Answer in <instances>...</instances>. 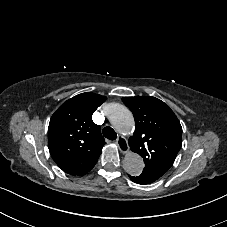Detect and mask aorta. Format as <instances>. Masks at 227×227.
I'll list each match as a JSON object with an SVG mask.
<instances>
[{
	"mask_svg": "<svg viewBox=\"0 0 227 227\" xmlns=\"http://www.w3.org/2000/svg\"><path fill=\"white\" fill-rule=\"evenodd\" d=\"M108 117L112 126L120 133H128L134 128L135 122L131 111L121 104H110ZM144 166L142 157L137 153L130 152L124 158V169L130 175H140Z\"/></svg>",
	"mask_w": 227,
	"mask_h": 227,
	"instance_id": "1",
	"label": "aorta"
}]
</instances>
